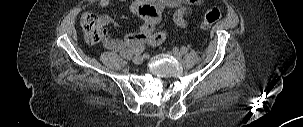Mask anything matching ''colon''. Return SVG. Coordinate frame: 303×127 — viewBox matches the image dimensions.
<instances>
[{
  "label": "colon",
  "instance_id": "obj_1",
  "mask_svg": "<svg viewBox=\"0 0 303 127\" xmlns=\"http://www.w3.org/2000/svg\"><path fill=\"white\" fill-rule=\"evenodd\" d=\"M220 17L221 12L218 8L213 7L208 9L202 20V27L209 28L216 23ZM81 26L87 43L96 44L102 39L103 28L95 14L85 13L81 18Z\"/></svg>",
  "mask_w": 303,
  "mask_h": 127
}]
</instances>
